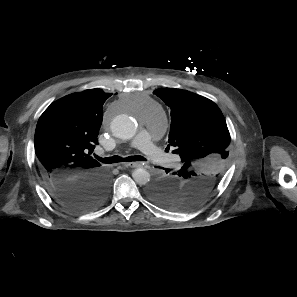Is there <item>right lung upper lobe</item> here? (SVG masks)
<instances>
[{
	"label": "right lung upper lobe",
	"instance_id": "right-lung-upper-lobe-1",
	"mask_svg": "<svg viewBox=\"0 0 297 297\" xmlns=\"http://www.w3.org/2000/svg\"><path fill=\"white\" fill-rule=\"evenodd\" d=\"M112 94L85 90L53 102L40 116L35 131V153L42 176L55 173L82 177L100 170L91 153L103 117V104Z\"/></svg>",
	"mask_w": 297,
	"mask_h": 297
}]
</instances>
